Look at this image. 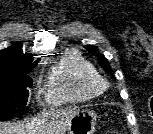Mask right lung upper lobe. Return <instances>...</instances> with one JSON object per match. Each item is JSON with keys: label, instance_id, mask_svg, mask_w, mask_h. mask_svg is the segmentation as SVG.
<instances>
[{"label": "right lung upper lobe", "instance_id": "cb5924a9", "mask_svg": "<svg viewBox=\"0 0 153 134\" xmlns=\"http://www.w3.org/2000/svg\"><path fill=\"white\" fill-rule=\"evenodd\" d=\"M33 55L24 54L18 45H13L0 51V75L28 74L37 63Z\"/></svg>", "mask_w": 153, "mask_h": 134}]
</instances>
